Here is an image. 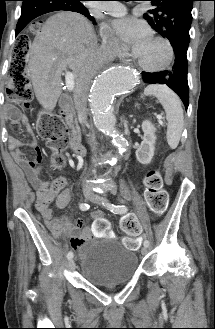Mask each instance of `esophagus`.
I'll return each instance as SVG.
<instances>
[{
  "mask_svg": "<svg viewBox=\"0 0 215 329\" xmlns=\"http://www.w3.org/2000/svg\"><path fill=\"white\" fill-rule=\"evenodd\" d=\"M123 62L127 64V63H129V60H124Z\"/></svg>",
  "mask_w": 215,
  "mask_h": 329,
  "instance_id": "obj_1",
  "label": "esophagus"
}]
</instances>
